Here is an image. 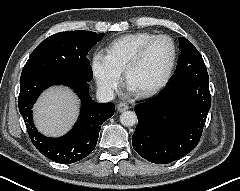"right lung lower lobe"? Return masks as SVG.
<instances>
[{"label":"right lung lower lobe","instance_id":"obj_1","mask_svg":"<svg viewBox=\"0 0 240 191\" xmlns=\"http://www.w3.org/2000/svg\"><path fill=\"white\" fill-rule=\"evenodd\" d=\"M60 84L70 86L82 99L80 116L66 135L46 137L38 132L33 123L32 107L43 90ZM18 106L34 146L48 159L62 164L77 162L94 150L102 123L115 110L113 103L99 104L89 97L87 81L58 71L22 74Z\"/></svg>","mask_w":240,"mask_h":191}]
</instances>
